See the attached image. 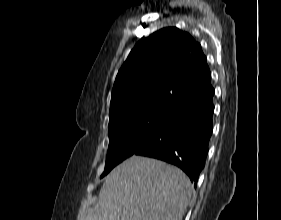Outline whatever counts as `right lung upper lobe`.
I'll return each instance as SVG.
<instances>
[{
    "mask_svg": "<svg viewBox=\"0 0 281 220\" xmlns=\"http://www.w3.org/2000/svg\"><path fill=\"white\" fill-rule=\"evenodd\" d=\"M211 87L201 45L187 32L163 28L138 42L119 70L109 123L128 115L170 114L186 98Z\"/></svg>",
    "mask_w": 281,
    "mask_h": 220,
    "instance_id": "right-lung-upper-lobe-1",
    "label": "right lung upper lobe"
}]
</instances>
